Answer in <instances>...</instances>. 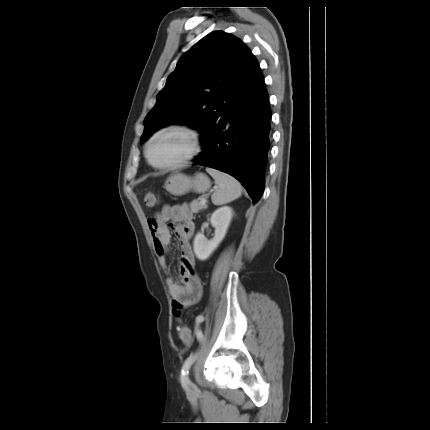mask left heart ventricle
Segmentation results:
<instances>
[{"label": "left heart ventricle", "instance_id": "b2bd125f", "mask_svg": "<svg viewBox=\"0 0 430 430\" xmlns=\"http://www.w3.org/2000/svg\"><path fill=\"white\" fill-rule=\"evenodd\" d=\"M190 149L189 135L181 131H169L154 140L149 153L154 163L168 165L183 158Z\"/></svg>", "mask_w": 430, "mask_h": 430}]
</instances>
